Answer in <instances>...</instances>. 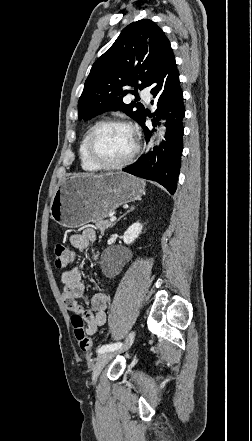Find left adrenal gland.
Wrapping results in <instances>:
<instances>
[{
  "instance_id": "a2214340",
  "label": "left adrenal gland",
  "mask_w": 252,
  "mask_h": 441,
  "mask_svg": "<svg viewBox=\"0 0 252 441\" xmlns=\"http://www.w3.org/2000/svg\"><path fill=\"white\" fill-rule=\"evenodd\" d=\"M134 210V206H132L125 214H123L117 221H119L121 218H123L126 214Z\"/></svg>"
}]
</instances>
